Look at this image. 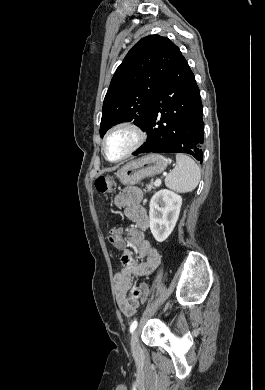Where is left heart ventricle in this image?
I'll return each mask as SVG.
<instances>
[{
    "label": "left heart ventricle",
    "instance_id": "left-heart-ventricle-1",
    "mask_svg": "<svg viewBox=\"0 0 265 390\" xmlns=\"http://www.w3.org/2000/svg\"><path fill=\"white\" fill-rule=\"evenodd\" d=\"M133 142V135L126 130H120L110 136L106 144L107 156L111 160L120 158Z\"/></svg>",
    "mask_w": 265,
    "mask_h": 390
}]
</instances>
